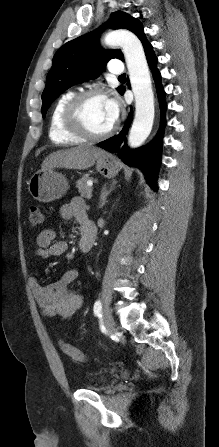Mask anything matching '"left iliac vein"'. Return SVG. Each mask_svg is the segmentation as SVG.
Masks as SVG:
<instances>
[{
    "label": "left iliac vein",
    "mask_w": 219,
    "mask_h": 447,
    "mask_svg": "<svg viewBox=\"0 0 219 447\" xmlns=\"http://www.w3.org/2000/svg\"><path fill=\"white\" fill-rule=\"evenodd\" d=\"M103 322L108 333L114 332V318L108 307L103 310Z\"/></svg>",
    "instance_id": "obj_1"
}]
</instances>
